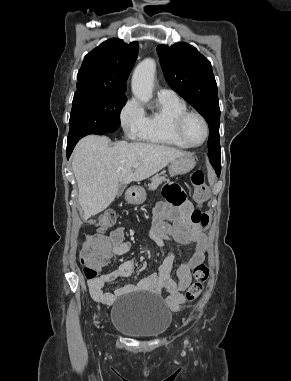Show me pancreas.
<instances>
[{
  "label": "pancreas",
  "instance_id": "1",
  "mask_svg": "<svg viewBox=\"0 0 291 381\" xmlns=\"http://www.w3.org/2000/svg\"><path fill=\"white\" fill-rule=\"evenodd\" d=\"M165 176H161L159 174L155 175L151 178V184L149 185V189L156 190L157 187L162 184V182L166 181Z\"/></svg>",
  "mask_w": 291,
  "mask_h": 381
}]
</instances>
